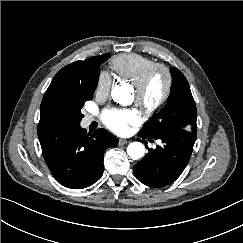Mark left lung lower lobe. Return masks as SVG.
<instances>
[{
	"instance_id": "left-lung-lower-lobe-1",
	"label": "left lung lower lobe",
	"mask_w": 243,
	"mask_h": 243,
	"mask_svg": "<svg viewBox=\"0 0 243 243\" xmlns=\"http://www.w3.org/2000/svg\"><path fill=\"white\" fill-rule=\"evenodd\" d=\"M138 135L141 138H151L141 132ZM156 139L162 141L161 146L148 149V153L134 166L133 171L141 183L161 188L173 183L183 172L191 157L193 144L169 134Z\"/></svg>"
}]
</instances>
